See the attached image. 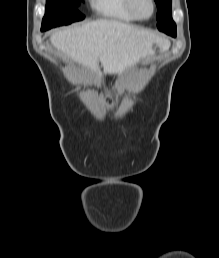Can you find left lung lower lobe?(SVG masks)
I'll list each match as a JSON object with an SVG mask.
<instances>
[{
    "label": "left lung lower lobe",
    "instance_id": "0a47b994",
    "mask_svg": "<svg viewBox=\"0 0 219 258\" xmlns=\"http://www.w3.org/2000/svg\"><path fill=\"white\" fill-rule=\"evenodd\" d=\"M168 35L176 37V32L168 33Z\"/></svg>",
    "mask_w": 219,
    "mask_h": 258
}]
</instances>
